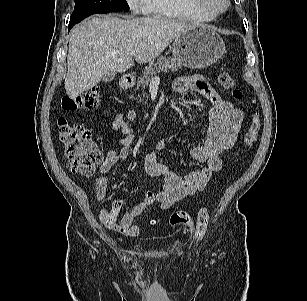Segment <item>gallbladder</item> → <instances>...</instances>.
I'll list each match as a JSON object with an SVG mask.
<instances>
[{"label":"gallbladder","instance_id":"1","mask_svg":"<svg viewBox=\"0 0 307 301\" xmlns=\"http://www.w3.org/2000/svg\"><path fill=\"white\" fill-rule=\"evenodd\" d=\"M114 77H115V72L110 71L102 77V81L103 82H110L114 79Z\"/></svg>","mask_w":307,"mask_h":301}]
</instances>
